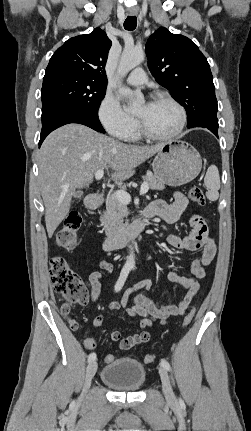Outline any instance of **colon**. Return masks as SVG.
<instances>
[{
    "mask_svg": "<svg viewBox=\"0 0 251 431\" xmlns=\"http://www.w3.org/2000/svg\"><path fill=\"white\" fill-rule=\"evenodd\" d=\"M189 197L192 202L203 206L206 203L205 195L202 189L198 186H193L189 191ZM82 218L77 212L69 214L56 233V243L59 247L70 250L73 249L78 242V233L81 227ZM50 275L54 289L62 295L66 302L60 307V313L64 318L68 319L71 329L77 328V322L69 318L71 312V304L85 305L88 301V295L79 276L71 269L69 263L61 255H54L50 260ZM195 315V309H192L183 320V326H188ZM83 350L87 353L97 350V342L92 337L84 339ZM117 353H106L103 355L102 364L111 366L117 362ZM155 360V356L147 354L143 361L149 364Z\"/></svg>",
    "mask_w": 251,
    "mask_h": 431,
    "instance_id": "obj_1",
    "label": "colon"
}]
</instances>
